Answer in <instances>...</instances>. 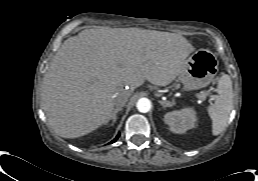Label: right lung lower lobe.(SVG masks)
Returning a JSON list of instances; mask_svg holds the SVG:
<instances>
[{"label": "right lung lower lobe", "mask_w": 258, "mask_h": 181, "mask_svg": "<svg viewBox=\"0 0 258 181\" xmlns=\"http://www.w3.org/2000/svg\"><path fill=\"white\" fill-rule=\"evenodd\" d=\"M119 136V135H118ZM118 136L111 142V143H114L117 139H118Z\"/></svg>", "instance_id": "right-lung-lower-lobe-1"}]
</instances>
